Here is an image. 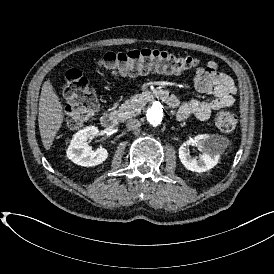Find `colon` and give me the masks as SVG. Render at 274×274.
<instances>
[{"mask_svg": "<svg viewBox=\"0 0 274 274\" xmlns=\"http://www.w3.org/2000/svg\"><path fill=\"white\" fill-rule=\"evenodd\" d=\"M98 64L125 76L149 71L182 73L196 68L200 60L193 56L146 48L107 52L99 57ZM62 92L68 103L65 121L69 126L78 127L86 115L98 110L96 89L88 84L78 68L66 70ZM215 125L221 132L230 133L237 127L238 119L233 112L221 111L215 119Z\"/></svg>", "mask_w": 274, "mask_h": 274, "instance_id": "5ec220e1", "label": "colon"}]
</instances>
